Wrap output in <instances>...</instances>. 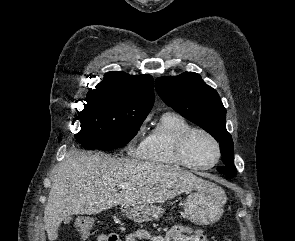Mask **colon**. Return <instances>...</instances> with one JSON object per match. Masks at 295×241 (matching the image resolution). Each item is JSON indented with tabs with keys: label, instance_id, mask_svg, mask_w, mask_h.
Masks as SVG:
<instances>
[{
	"label": "colon",
	"instance_id": "obj_1",
	"mask_svg": "<svg viewBox=\"0 0 295 241\" xmlns=\"http://www.w3.org/2000/svg\"><path fill=\"white\" fill-rule=\"evenodd\" d=\"M92 224H93V222H92L91 220H88V221H87V226H88V227H91ZM88 231H89L88 228L84 230L85 233H87ZM227 241H232V240H227Z\"/></svg>",
	"mask_w": 295,
	"mask_h": 241
}]
</instances>
